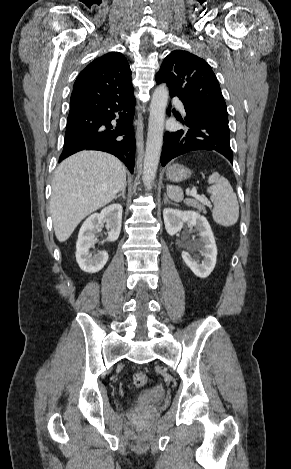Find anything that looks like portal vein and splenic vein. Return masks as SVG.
Returning a JSON list of instances; mask_svg holds the SVG:
<instances>
[{"instance_id":"1","label":"portal vein and splenic vein","mask_w":291,"mask_h":469,"mask_svg":"<svg viewBox=\"0 0 291 469\" xmlns=\"http://www.w3.org/2000/svg\"><path fill=\"white\" fill-rule=\"evenodd\" d=\"M189 194H190L191 196H193V197H198L197 191H196L195 188H193V189L190 191ZM206 204H207L209 207H211V204H210V203H207V202H206Z\"/></svg>"}]
</instances>
